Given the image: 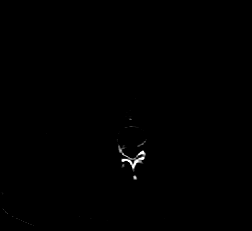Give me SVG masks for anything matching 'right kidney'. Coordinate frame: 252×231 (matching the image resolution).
<instances>
[{
    "instance_id": "right-kidney-1",
    "label": "right kidney",
    "mask_w": 252,
    "mask_h": 231,
    "mask_svg": "<svg viewBox=\"0 0 252 231\" xmlns=\"http://www.w3.org/2000/svg\"><path fill=\"white\" fill-rule=\"evenodd\" d=\"M95 135H97V131L89 130L76 136L69 145V148L67 150V157L75 162H83L87 160L90 153L82 146L87 139L92 138Z\"/></svg>"
}]
</instances>
